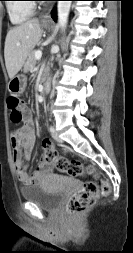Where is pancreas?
Segmentation results:
<instances>
[{
	"label": "pancreas",
	"mask_w": 133,
	"mask_h": 253,
	"mask_svg": "<svg viewBox=\"0 0 133 253\" xmlns=\"http://www.w3.org/2000/svg\"><path fill=\"white\" fill-rule=\"evenodd\" d=\"M35 65H36L35 51H31L24 65V71L25 72L33 71L35 68Z\"/></svg>",
	"instance_id": "cf45deb5"
}]
</instances>
